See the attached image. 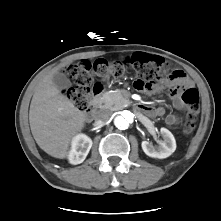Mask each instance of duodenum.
Wrapping results in <instances>:
<instances>
[{"label":"duodenum","mask_w":221,"mask_h":221,"mask_svg":"<svg viewBox=\"0 0 221 221\" xmlns=\"http://www.w3.org/2000/svg\"><path fill=\"white\" fill-rule=\"evenodd\" d=\"M104 91V85L101 83H96L93 85L91 89L90 94V104L89 109L84 112V116L89 118L93 112L94 107L99 103L100 101V95ZM139 110L145 112V107L141 106L139 107Z\"/></svg>","instance_id":"1"}]
</instances>
